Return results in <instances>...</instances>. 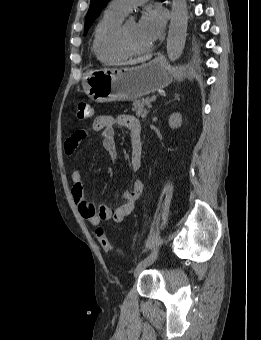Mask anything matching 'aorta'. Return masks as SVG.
<instances>
[{
    "mask_svg": "<svg viewBox=\"0 0 261 340\" xmlns=\"http://www.w3.org/2000/svg\"><path fill=\"white\" fill-rule=\"evenodd\" d=\"M188 25L186 0H173L171 20L167 37V54L171 61L177 60L184 49Z\"/></svg>",
    "mask_w": 261,
    "mask_h": 340,
    "instance_id": "obj_1",
    "label": "aorta"
}]
</instances>
